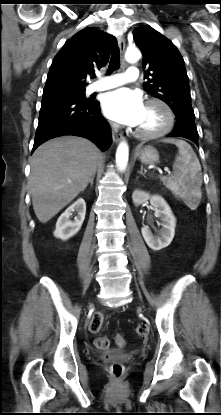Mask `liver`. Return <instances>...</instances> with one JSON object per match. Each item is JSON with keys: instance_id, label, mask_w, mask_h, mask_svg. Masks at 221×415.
<instances>
[{"instance_id": "6515ba94", "label": "liver", "mask_w": 221, "mask_h": 415, "mask_svg": "<svg viewBox=\"0 0 221 415\" xmlns=\"http://www.w3.org/2000/svg\"><path fill=\"white\" fill-rule=\"evenodd\" d=\"M101 158L96 145L75 136L54 138L36 149L29 184L33 209L41 223L85 190Z\"/></svg>"}]
</instances>
